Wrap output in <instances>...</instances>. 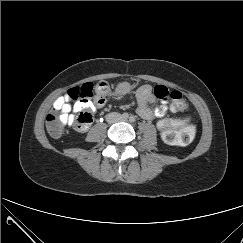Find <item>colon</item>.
Masks as SVG:
<instances>
[{"instance_id": "obj_1", "label": "colon", "mask_w": 243, "mask_h": 243, "mask_svg": "<svg viewBox=\"0 0 243 243\" xmlns=\"http://www.w3.org/2000/svg\"><path fill=\"white\" fill-rule=\"evenodd\" d=\"M110 89L111 86L107 81H99L96 85L88 82L71 88L68 91V97L76 101H88L93 97L95 99L97 95L108 94ZM153 93L159 100L170 98L171 110L175 113H185L189 109L187 101L178 91H169L166 87L158 85L154 88ZM91 122L92 113L85 110L78 116L76 128L82 130L89 126ZM64 125L55 111L47 115L46 127L51 136L59 137L63 132ZM158 129L164 142L174 145L189 144L196 133L195 126L189 118L161 120L158 122Z\"/></svg>"}]
</instances>
